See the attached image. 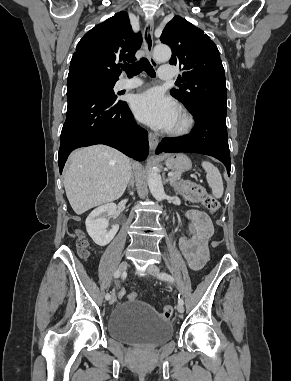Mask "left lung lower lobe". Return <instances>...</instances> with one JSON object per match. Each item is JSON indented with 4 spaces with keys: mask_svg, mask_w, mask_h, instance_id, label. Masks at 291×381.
Here are the masks:
<instances>
[{
    "mask_svg": "<svg viewBox=\"0 0 291 381\" xmlns=\"http://www.w3.org/2000/svg\"><path fill=\"white\" fill-rule=\"evenodd\" d=\"M195 118L193 131L183 137L164 138L156 153L189 152L210 155L220 160L230 175L231 162L227 138L226 110L200 108L191 112Z\"/></svg>",
    "mask_w": 291,
    "mask_h": 381,
    "instance_id": "0a47b994",
    "label": "left lung lower lobe"
}]
</instances>
